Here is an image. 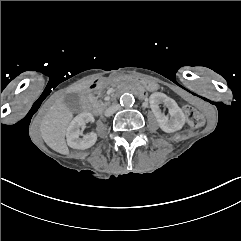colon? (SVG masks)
<instances>
[{
    "label": "colon",
    "mask_w": 241,
    "mask_h": 241,
    "mask_svg": "<svg viewBox=\"0 0 241 241\" xmlns=\"http://www.w3.org/2000/svg\"><path fill=\"white\" fill-rule=\"evenodd\" d=\"M184 114L192 126H200L203 123V119L196 110V108L192 105H185L183 107Z\"/></svg>",
    "instance_id": "5ec220e1"
}]
</instances>
